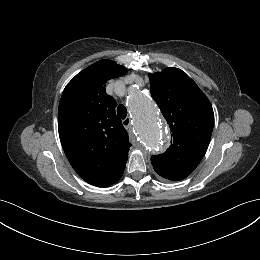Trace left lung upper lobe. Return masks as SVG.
Segmentation results:
<instances>
[{
  "label": "left lung upper lobe",
  "instance_id": "5c2ea615",
  "mask_svg": "<svg viewBox=\"0 0 260 260\" xmlns=\"http://www.w3.org/2000/svg\"><path fill=\"white\" fill-rule=\"evenodd\" d=\"M150 91L172 132L171 145L151 157L161 177L179 181L189 176L205 155L213 130L212 106L196 83L178 68L149 74Z\"/></svg>",
  "mask_w": 260,
  "mask_h": 260
}]
</instances>
